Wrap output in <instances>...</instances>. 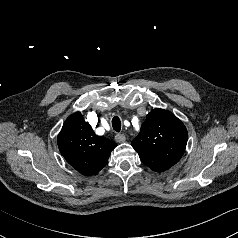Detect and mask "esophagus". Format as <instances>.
I'll return each mask as SVG.
<instances>
[{
  "instance_id": "1",
  "label": "esophagus",
  "mask_w": 238,
  "mask_h": 238,
  "mask_svg": "<svg viewBox=\"0 0 238 238\" xmlns=\"http://www.w3.org/2000/svg\"><path fill=\"white\" fill-rule=\"evenodd\" d=\"M115 140L118 143H122L126 140V137H125L124 134L118 133V134L115 135Z\"/></svg>"
}]
</instances>
